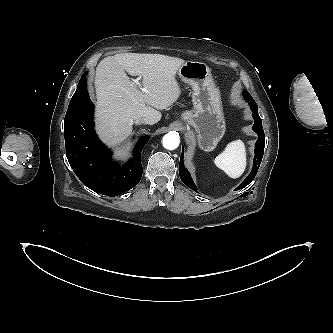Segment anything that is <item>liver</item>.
I'll return each instance as SVG.
<instances>
[{"instance_id": "1", "label": "liver", "mask_w": 333, "mask_h": 333, "mask_svg": "<svg viewBox=\"0 0 333 333\" xmlns=\"http://www.w3.org/2000/svg\"><path fill=\"white\" fill-rule=\"evenodd\" d=\"M185 60L161 54L122 53L101 60L96 68L97 131L108 145H117L131 132L134 120L160 121L159 110L171 106L181 94L175 76ZM142 77L147 92L129 79Z\"/></svg>"}]
</instances>
